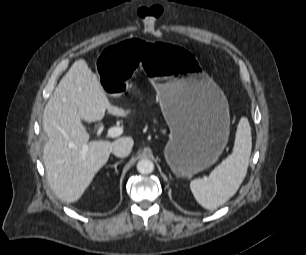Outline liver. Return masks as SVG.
<instances>
[{"mask_svg":"<svg viewBox=\"0 0 306 255\" xmlns=\"http://www.w3.org/2000/svg\"><path fill=\"white\" fill-rule=\"evenodd\" d=\"M127 117L129 111L112 105L101 88L99 77L85 60L73 63L49 98L43 112L48 141L43 161L51 189L66 203L78 201L107 163L114 142L91 141L82 124L104 118L105 112ZM133 141V140H132ZM88 149L82 152L83 146Z\"/></svg>","mask_w":306,"mask_h":255,"instance_id":"obj_1","label":"liver"}]
</instances>
